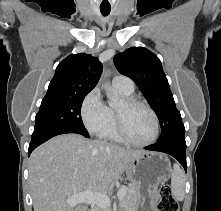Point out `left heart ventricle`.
Segmentation results:
<instances>
[{
    "mask_svg": "<svg viewBox=\"0 0 221 211\" xmlns=\"http://www.w3.org/2000/svg\"><path fill=\"white\" fill-rule=\"evenodd\" d=\"M117 110L122 113L127 131L132 139L138 142H146L153 137L154 120L145 107H127L122 102Z\"/></svg>",
    "mask_w": 221,
    "mask_h": 211,
    "instance_id": "obj_1",
    "label": "left heart ventricle"
}]
</instances>
